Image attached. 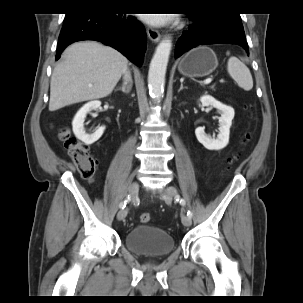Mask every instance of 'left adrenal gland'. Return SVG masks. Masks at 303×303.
<instances>
[{"instance_id":"1","label":"left adrenal gland","mask_w":303,"mask_h":303,"mask_svg":"<svg viewBox=\"0 0 303 303\" xmlns=\"http://www.w3.org/2000/svg\"><path fill=\"white\" fill-rule=\"evenodd\" d=\"M182 89H184V87H183V83L181 82V85H180V88H179L178 92H180Z\"/></svg>"}]
</instances>
